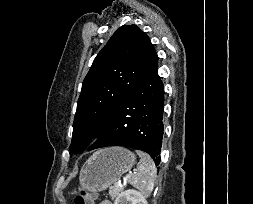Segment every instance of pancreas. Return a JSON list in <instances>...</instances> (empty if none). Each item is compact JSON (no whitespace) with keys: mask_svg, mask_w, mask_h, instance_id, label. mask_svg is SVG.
<instances>
[{"mask_svg":"<svg viewBox=\"0 0 253 204\" xmlns=\"http://www.w3.org/2000/svg\"><path fill=\"white\" fill-rule=\"evenodd\" d=\"M124 187H119V186H112L109 189V195L111 197V199L116 198L122 191H123Z\"/></svg>","mask_w":253,"mask_h":204,"instance_id":"1","label":"pancreas"}]
</instances>
